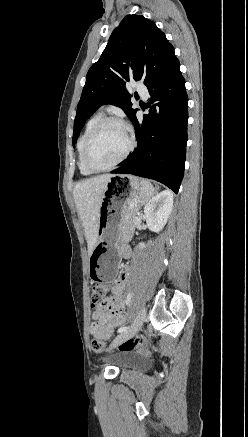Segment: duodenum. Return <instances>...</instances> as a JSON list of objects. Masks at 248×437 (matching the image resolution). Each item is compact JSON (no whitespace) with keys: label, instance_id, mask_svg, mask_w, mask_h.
<instances>
[{"label":"duodenum","instance_id":"obj_1","mask_svg":"<svg viewBox=\"0 0 248 437\" xmlns=\"http://www.w3.org/2000/svg\"><path fill=\"white\" fill-rule=\"evenodd\" d=\"M128 253H129V251H128L127 248H124V249L122 250V254H123V255H127Z\"/></svg>","mask_w":248,"mask_h":437}]
</instances>
